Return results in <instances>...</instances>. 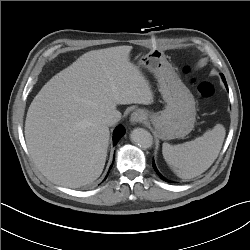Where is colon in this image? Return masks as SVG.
<instances>
[{
  "label": "colon",
  "instance_id": "colon-1",
  "mask_svg": "<svg viewBox=\"0 0 250 250\" xmlns=\"http://www.w3.org/2000/svg\"><path fill=\"white\" fill-rule=\"evenodd\" d=\"M197 91L202 99H208L214 94V86L208 81H202L197 86Z\"/></svg>",
  "mask_w": 250,
  "mask_h": 250
}]
</instances>
